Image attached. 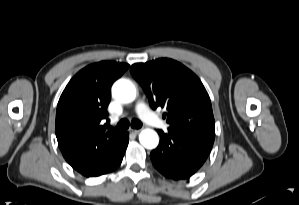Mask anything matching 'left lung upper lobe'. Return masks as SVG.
I'll list each match as a JSON object with an SVG mask.
<instances>
[{"instance_id":"1","label":"left lung upper lobe","mask_w":299,"mask_h":205,"mask_svg":"<svg viewBox=\"0 0 299 205\" xmlns=\"http://www.w3.org/2000/svg\"><path fill=\"white\" fill-rule=\"evenodd\" d=\"M153 109H165L169 132L215 136L211 101L200 79L184 65L162 58L131 67Z\"/></svg>"}]
</instances>
